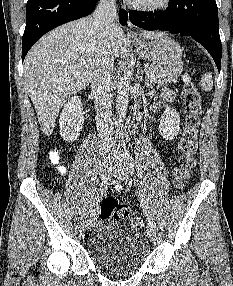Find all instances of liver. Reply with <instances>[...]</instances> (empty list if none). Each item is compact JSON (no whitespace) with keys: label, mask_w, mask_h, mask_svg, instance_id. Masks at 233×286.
I'll list each match as a JSON object with an SVG mask.
<instances>
[{"label":"liver","mask_w":233,"mask_h":286,"mask_svg":"<svg viewBox=\"0 0 233 286\" xmlns=\"http://www.w3.org/2000/svg\"><path fill=\"white\" fill-rule=\"evenodd\" d=\"M93 22V17H85L54 29L24 60L25 87L47 136L67 98L92 81L94 61L102 47V32ZM142 35L153 40L162 34L144 31ZM108 42L113 58L124 53L126 37L117 22L109 28Z\"/></svg>","instance_id":"6515ba94"}]
</instances>
